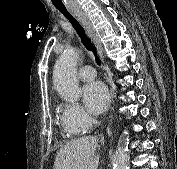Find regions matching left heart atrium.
<instances>
[{
    "label": "left heart atrium",
    "instance_id": "39dd6f15",
    "mask_svg": "<svg viewBox=\"0 0 177 169\" xmlns=\"http://www.w3.org/2000/svg\"><path fill=\"white\" fill-rule=\"evenodd\" d=\"M82 96L86 108L93 114L103 113L109 105V91L100 81L86 84L82 89Z\"/></svg>",
    "mask_w": 177,
    "mask_h": 169
}]
</instances>
